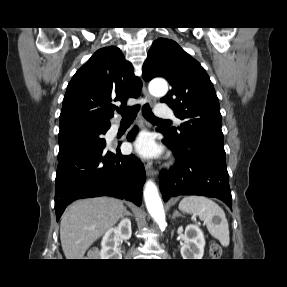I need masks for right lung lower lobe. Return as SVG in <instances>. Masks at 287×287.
<instances>
[{
	"mask_svg": "<svg viewBox=\"0 0 287 287\" xmlns=\"http://www.w3.org/2000/svg\"><path fill=\"white\" fill-rule=\"evenodd\" d=\"M135 130L128 134L134 139ZM106 142H74L59 148L55 180L57 221L65 208L81 198L111 196L141 205L146 179L142 162L120 149L105 148Z\"/></svg>",
	"mask_w": 287,
	"mask_h": 287,
	"instance_id": "1",
	"label": "right lung lower lobe"
}]
</instances>
